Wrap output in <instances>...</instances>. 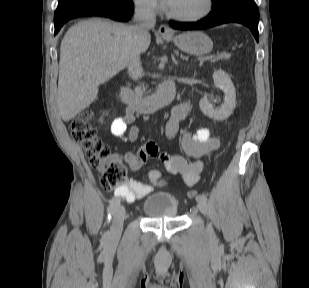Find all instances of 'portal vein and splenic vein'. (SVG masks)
I'll return each instance as SVG.
<instances>
[{
  "label": "portal vein and splenic vein",
  "instance_id": "1",
  "mask_svg": "<svg viewBox=\"0 0 309 288\" xmlns=\"http://www.w3.org/2000/svg\"><path fill=\"white\" fill-rule=\"evenodd\" d=\"M214 57H215V54L206 55V56H203V57L199 58L200 65L202 64V62L207 61V60H211Z\"/></svg>",
  "mask_w": 309,
  "mask_h": 288
}]
</instances>
